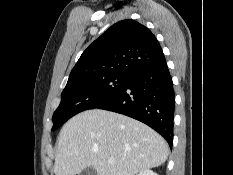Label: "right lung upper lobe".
<instances>
[{"mask_svg": "<svg viewBox=\"0 0 233 175\" xmlns=\"http://www.w3.org/2000/svg\"><path fill=\"white\" fill-rule=\"evenodd\" d=\"M163 55L159 42L147 27L133 20H122L83 52L67 83L107 73L131 75Z\"/></svg>", "mask_w": 233, "mask_h": 175, "instance_id": "right-lung-upper-lobe-1", "label": "right lung upper lobe"}]
</instances>
